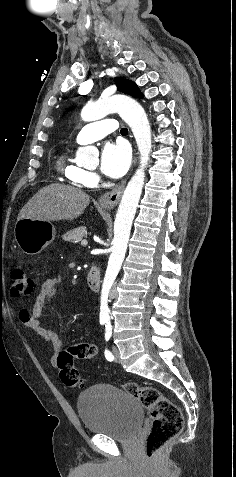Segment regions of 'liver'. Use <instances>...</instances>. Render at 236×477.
<instances>
[{
    "mask_svg": "<svg viewBox=\"0 0 236 477\" xmlns=\"http://www.w3.org/2000/svg\"><path fill=\"white\" fill-rule=\"evenodd\" d=\"M89 203V195L75 187L50 184L40 189L24 205L17 220H74L81 216Z\"/></svg>",
    "mask_w": 236,
    "mask_h": 477,
    "instance_id": "1",
    "label": "liver"
}]
</instances>
